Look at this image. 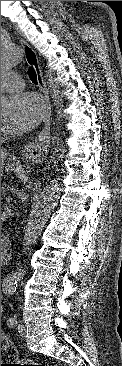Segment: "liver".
<instances>
[{"mask_svg":"<svg viewBox=\"0 0 122 366\" xmlns=\"http://www.w3.org/2000/svg\"><path fill=\"white\" fill-rule=\"evenodd\" d=\"M4 170L7 174L15 172L18 176H23V169L19 161L10 156L4 148H1V177Z\"/></svg>","mask_w":122,"mask_h":366,"instance_id":"liver-1","label":"liver"}]
</instances>
